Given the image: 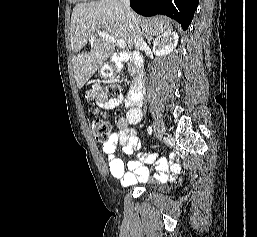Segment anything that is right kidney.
Segmentation results:
<instances>
[{"instance_id": "1", "label": "right kidney", "mask_w": 257, "mask_h": 237, "mask_svg": "<svg viewBox=\"0 0 257 237\" xmlns=\"http://www.w3.org/2000/svg\"><path fill=\"white\" fill-rule=\"evenodd\" d=\"M179 36L176 32L167 31L159 35L153 42V52L158 57H166L176 48Z\"/></svg>"}]
</instances>
